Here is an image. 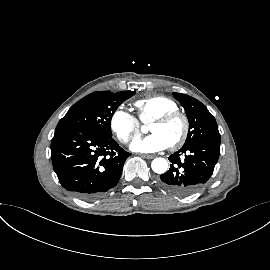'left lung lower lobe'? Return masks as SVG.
Listing matches in <instances>:
<instances>
[{
    "label": "left lung lower lobe",
    "mask_w": 270,
    "mask_h": 270,
    "mask_svg": "<svg viewBox=\"0 0 270 270\" xmlns=\"http://www.w3.org/2000/svg\"><path fill=\"white\" fill-rule=\"evenodd\" d=\"M219 154L220 143L198 141L183 146L169 157L172 164L160 175V186L179 196L196 192L211 177Z\"/></svg>",
    "instance_id": "obj_1"
}]
</instances>
